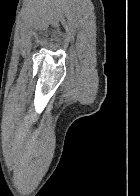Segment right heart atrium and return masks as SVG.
I'll return each mask as SVG.
<instances>
[{
  "label": "right heart atrium",
  "instance_id": "1",
  "mask_svg": "<svg viewBox=\"0 0 140 196\" xmlns=\"http://www.w3.org/2000/svg\"><path fill=\"white\" fill-rule=\"evenodd\" d=\"M13 192H35V191H13Z\"/></svg>",
  "mask_w": 140,
  "mask_h": 196
}]
</instances>
